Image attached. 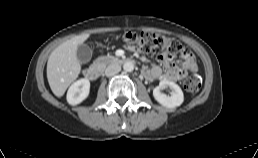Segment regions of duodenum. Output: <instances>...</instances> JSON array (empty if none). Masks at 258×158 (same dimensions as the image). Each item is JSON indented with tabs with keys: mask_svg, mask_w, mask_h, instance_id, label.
<instances>
[{
	"mask_svg": "<svg viewBox=\"0 0 258 158\" xmlns=\"http://www.w3.org/2000/svg\"><path fill=\"white\" fill-rule=\"evenodd\" d=\"M133 61L129 58H114L111 60L113 64H129ZM102 73V68L100 66H91L85 69L84 76L89 80H96Z\"/></svg>",
	"mask_w": 258,
	"mask_h": 158,
	"instance_id": "1",
	"label": "duodenum"
}]
</instances>
